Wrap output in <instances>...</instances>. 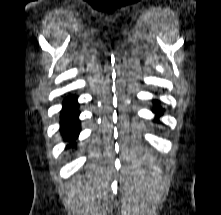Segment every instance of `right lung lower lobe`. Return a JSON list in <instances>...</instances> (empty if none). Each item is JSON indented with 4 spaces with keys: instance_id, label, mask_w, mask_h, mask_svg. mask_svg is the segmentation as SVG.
I'll return each mask as SVG.
<instances>
[{
    "instance_id": "98d812e1",
    "label": "right lung lower lobe",
    "mask_w": 221,
    "mask_h": 215,
    "mask_svg": "<svg viewBox=\"0 0 221 215\" xmlns=\"http://www.w3.org/2000/svg\"><path fill=\"white\" fill-rule=\"evenodd\" d=\"M77 98L68 96L63 101V111L60 114L61 133L69 147L76 145L75 140L80 132V121Z\"/></svg>"
}]
</instances>
